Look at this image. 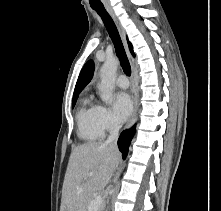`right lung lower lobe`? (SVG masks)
Returning <instances> with one entry per match:
<instances>
[{
    "mask_svg": "<svg viewBox=\"0 0 221 211\" xmlns=\"http://www.w3.org/2000/svg\"><path fill=\"white\" fill-rule=\"evenodd\" d=\"M134 133H135V126H133L129 130H126L125 132H122L118 139V147L119 150L122 152L123 159H125L127 156L128 148Z\"/></svg>",
    "mask_w": 221,
    "mask_h": 211,
    "instance_id": "98d812e1",
    "label": "right lung lower lobe"
}]
</instances>
